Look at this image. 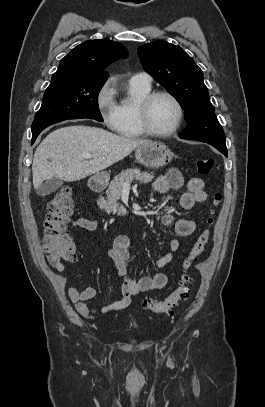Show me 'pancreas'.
<instances>
[{
	"instance_id": "pancreas-1",
	"label": "pancreas",
	"mask_w": 265,
	"mask_h": 407,
	"mask_svg": "<svg viewBox=\"0 0 265 407\" xmlns=\"http://www.w3.org/2000/svg\"><path fill=\"white\" fill-rule=\"evenodd\" d=\"M154 178L153 173L141 172L139 169H127L115 176L110 182L107 190V199L100 197L97 204L99 208L105 209L110 214L111 212L121 214L125 212V209L117 203L121 197L124 183H131L133 180H137L140 183H149Z\"/></svg>"
}]
</instances>
